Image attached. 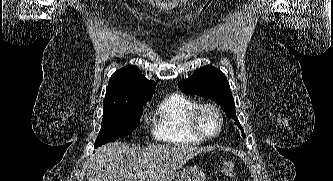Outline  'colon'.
Masks as SVG:
<instances>
[{
    "label": "colon",
    "mask_w": 333,
    "mask_h": 181,
    "mask_svg": "<svg viewBox=\"0 0 333 181\" xmlns=\"http://www.w3.org/2000/svg\"><path fill=\"white\" fill-rule=\"evenodd\" d=\"M235 171V163L232 160H229L227 162L224 163L223 167H222V172L225 176L227 177H231L233 176Z\"/></svg>",
    "instance_id": "obj_1"
}]
</instances>
